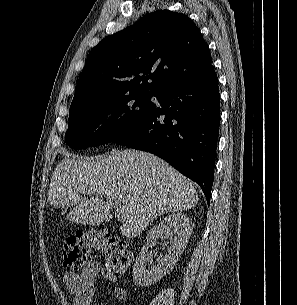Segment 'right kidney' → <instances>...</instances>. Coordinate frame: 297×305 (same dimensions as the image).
I'll use <instances>...</instances> for the list:
<instances>
[{"label": "right kidney", "mask_w": 297, "mask_h": 305, "mask_svg": "<svg viewBox=\"0 0 297 305\" xmlns=\"http://www.w3.org/2000/svg\"><path fill=\"white\" fill-rule=\"evenodd\" d=\"M193 230L190 218L184 213H173L152 228L146 236L144 246L133 267V280L142 287H148L165 276L178 261L183 253ZM162 238L169 240L170 246L166 254L158 256L155 265L149 269L148 264L152 263V256L149 254V247L155 246L156 240Z\"/></svg>", "instance_id": "right-kidney-1"}]
</instances>
